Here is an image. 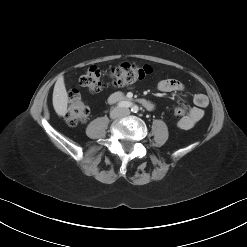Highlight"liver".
<instances>
[{
	"mask_svg": "<svg viewBox=\"0 0 247 247\" xmlns=\"http://www.w3.org/2000/svg\"><path fill=\"white\" fill-rule=\"evenodd\" d=\"M68 95L64 84V78L61 76L55 83L53 90V107L59 116H65L67 113Z\"/></svg>",
	"mask_w": 247,
	"mask_h": 247,
	"instance_id": "obj_1",
	"label": "liver"
}]
</instances>
